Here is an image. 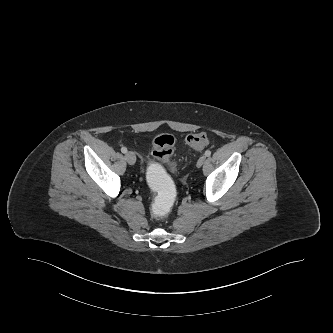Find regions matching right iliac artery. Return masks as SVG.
<instances>
[{"label":"right iliac artery","instance_id":"1","mask_svg":"<svg viewBox=\"0 0 333 333\" xmlns=\"http://www.w3.org/2000/svg\"><path fill=\"white\" fill-rule=\"evenodd\" d=\"M121 152H122V153H126V152H127V148H126V147H122V148H121Z\"/></svg>","mask_w":333,"mask_h":333}]
</instances>
